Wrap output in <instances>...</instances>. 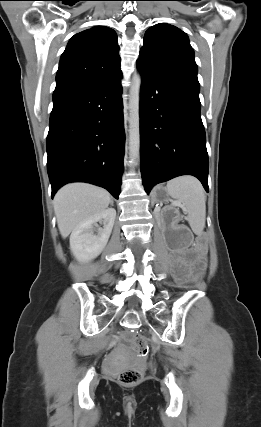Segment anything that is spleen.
Masks as SVG:
<instances>
[{"label": "spleen", "mask_w": 261, "mask_h": 427, "mask_svg": "<svg viewBox=\"0 0 261 427\" xmlns=\"http://www.w3.org/2000/svg\"><path fill=\"white\" fill-rule=\"evenodd\" d=\"M168 194L187 211V220L196 235L203 233L206 221V196L201 183L192 176H181L167 183Z\"/></svg>", "instance_id": "1"}]
</instances>
